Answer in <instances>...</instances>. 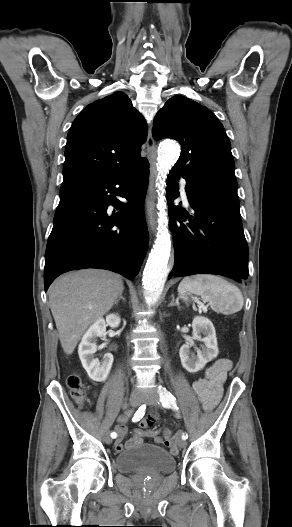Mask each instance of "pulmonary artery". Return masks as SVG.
<instances>
[{
    "label": "pulmonary artery",
    "instance_id": "pulmonary-artery-1",
    "mask_svg": "<svg viewBox=\"0 0 292 527\" xmlns=\"http://www.w3.org/2000/svg\"><path fill=\"white\" fill-rule=\"evenodd\" d=\"M186 181L184 179H180V193L183 198V200L187 203V195H186Z\"/></svg>",
    "mask_w": 292,
    "mask_h": 527
}]
</instances>
